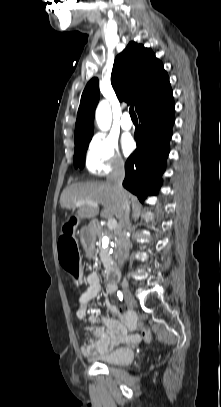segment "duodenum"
Wrapping results in <instances>:
<instances>
[{
	"mask_svg": "<svg viewBox=\"0 0 221 407\" xmlns=\"http://www.w3.org/2000/svg\"><path fill=\"white\" fill-rule=\"evenodd\" d=\"M106 277L109 282H112V283L117 282L120 278L119 270L115 267L108 268Z\"/></svg>",
	"mask_w": 221,
	"mask_h": 407,
	"instance_id": "duodenum-1",
	"label": "duodenum"
}]
</instances>
